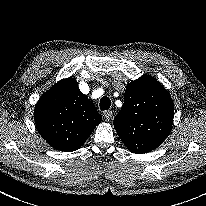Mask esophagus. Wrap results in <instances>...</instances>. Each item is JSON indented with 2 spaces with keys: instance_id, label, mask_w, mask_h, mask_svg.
<instances>
[{
  "instance_id": "obj_1",
  "label": "esophagus",
  "mask_w": 206,
  "mask_h": 206,
  "mask_svg": "<svg viewBox=\"0 0 206 206\" xmlns=\"http://www.w3.org/2000/svg\"><path fill=\"white\" fill-rule=\"evenodd\" d=\"M113 112L112 111H105L103 113V117L106 121H110L112 119Z\"/></svg>"
}]
</instances>
